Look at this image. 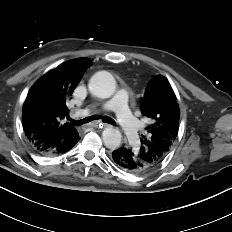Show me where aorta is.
I'll use <instances>...</instances> for the list:
<instances>
[{
    "label": "aorta",
    "instance_id": "762f6f07",
    "mask_svg": "<svg viewBox=\"0 0 232 232\" xmlns=\"http://www.w3.org/2000/svg\"><path fill=\"white\" fill-rule=\"evenodd\" d=\"M88 88L94 96L105 99L114 94L116 90V82L109 72L100 71L92 76ZM102 139L107 148L114 150L120 146L122 134L118 129L108 127L103 131Z\"/></svg>",
    "mask_w": 232,
    "mask_h": 232
}]
</instances>
